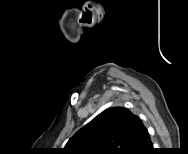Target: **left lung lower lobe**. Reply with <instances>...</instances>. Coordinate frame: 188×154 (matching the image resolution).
Masks as SVG:
<instances>
[{
	"label": "left lung lower lobe",
	"mask_w": 188,
	"mask_h": 154,
	"mask_svg": "<svg viewBox=\"0 0 188 154\" xmlns=\"http://www.w3.org/2000/svg\"><path fill=\"white\" fill-rule=\"evenodd\" d=\"M152 149L149 133L143 125L141 119L136 116L134 120V130L127 154H145ZM147 154V153H146Z\"/></svg>",
	"instance_id": "1"
}]
</instances>
